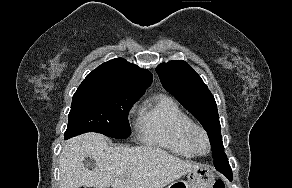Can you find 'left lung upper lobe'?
<instances>
[{"mask_svg":"<svg viewBox=\"0 0 292 188\" xmlns=\"http://www.w3.org/2000/svg\"><path fill=\"white\" fill-rule=\"evenodd\" d=\"M156 72L163 87L203 125L212 146L214 165H223L228 159L223 151L217 105L207 85L183 60L161 63L157 66ZM224 170L226 172L231 169L224 166Z\"/></svg>","mask_w":292,"mask_h":188,"instance_id":"1","label":"left lung upper lobe"}]
</instances>
